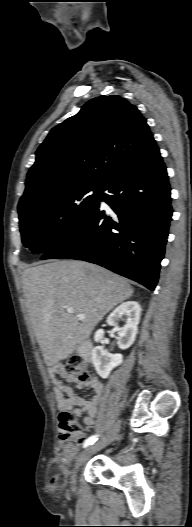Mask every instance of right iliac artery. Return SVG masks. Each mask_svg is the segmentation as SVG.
<instances>
[{
  "instance_id": "82829eb1",
  "label": "right iliac artery",
  "mask_w": 192,
  "mask_h": 527,
  "mask_svg": "<svg viewBox=\"0 0 192 527\" xmlns=\"http://www.w3.org/2000/svg\"><path fill=\"white\" fill-rule=\"evenodd\" d=\"M97 439H98V435L90 436V437L84 442L83 447L86 448V447H88L89 445H92L95 441H97Z\"/></svg>"
}]
</instances>
